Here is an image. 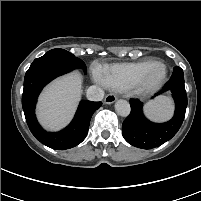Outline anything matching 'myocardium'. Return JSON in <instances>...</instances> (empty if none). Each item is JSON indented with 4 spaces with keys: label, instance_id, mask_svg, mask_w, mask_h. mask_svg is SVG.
Instances as JSON below:
<instances>
[{
    "label": "myocardium",
    "instance_id": "f54148a6",
    "mask_svg": "<svg viewBox=\"0 0 201 201\" xmlns=\"http://www.w3.org/2000/svg\"><path fill=\"white\" fill-rule=\"evenodd\" d=\"M158 67L162 70L161 75L156 80H153L152 73ZM167 76V65L161 61H155L142 73L133 88L141 94L152 93L163 86L167 80Z\"/></svg>",
    "mask_w": 201,
    "mask_h": 201
}]
</instances>
